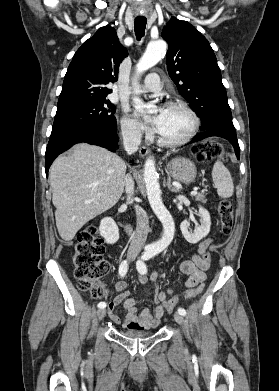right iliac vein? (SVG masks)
Segmentation results:
<instances>
[{"mask_svg": "<svg viewBox=\"0 0 279 391\" xmlns=\"http://www.w3.org/2000/svg\"><path fill=\"white\" fill-rule=\"evenodd\" d=\"M106 314L105 309H100L97 311V318L98 320H102Z\"/></svg>", "mask_w": 279, "mask_h": 391, "instance_id": "1", "label": "right iliac vein"}]
</instances>
